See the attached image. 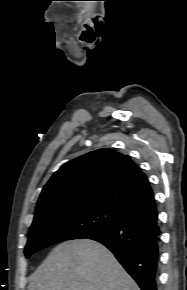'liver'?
<instances>
[{
  "mask_svg": "<svg viewBox=\"0 0 187 290\" xmlns=\"http://www.w3.org/2000/svg\"><path fill=\"white\" fill-rule=\"evenodd\" d=\"M28 290H140L102 244L79 239L57 245L30 276Z\"/></svg>",
  "mask_w": 187,
  "mask_h": 290,
  "instance_id": "6515ba94",
  "label": "liver"
}]
</instances>
